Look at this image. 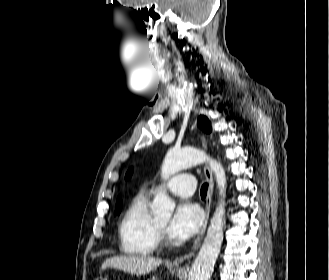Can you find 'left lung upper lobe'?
<instances>
[{
	"instance_id": "obj_1",
	"label": "left lung upper lobe",
	"mask_w": 329,
	"mask_h": 280,
	"mask_svg": "<svg viewBox=\"0 0 329 280\" xmlns=\"http://www.w3.org/2000/svg\"><path fill=\"white\" fill-rule=\"evenodd\" d=\"M198 125L205 132H210L211 131V124H210L209 120L204 116H200L198 118ZM132 173H133V168H130L128 170V172L126 173L125 179H129L131 177ZM121 208H122V201H121V198L118 197L117 202H116V213L119 214Z\"/></svg>"
}]
</instances>
